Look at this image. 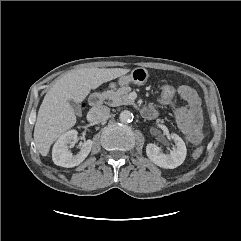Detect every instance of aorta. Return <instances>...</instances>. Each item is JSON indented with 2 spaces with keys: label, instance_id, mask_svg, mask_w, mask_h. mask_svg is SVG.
Segmentation results:
<instances>
[{
  "label": "aorta",
  "instance_id": "762f6f07",
  "mask_svg": "<svg viewBox=\"0 0 241 241\" xmlns=\"http://www.w3.org/2000/svg\"><path fill=\"white\" fill-rule=\"evenodd\" d=\"M133 113L130 112L129 110H124L120 113L119 119L122 123H129L132 122L133 120Z\"/></svg>",
  "mask_w": 241,
  "mask_h": 241
}]
</instances>
